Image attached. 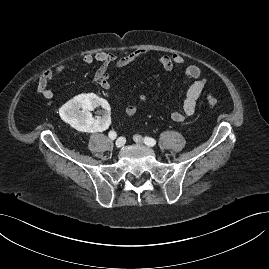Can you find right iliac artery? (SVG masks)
<instances>
[{"label": "right iliac artery", "mask_w": 269, "mask_h": 269, "mask_svg": "<svg viewBox=\"0 0 269 269\" xmlns=\"http://www.w3.org/2000/svg\"><path fill=\"white\" fill-rule=\"evenodd\" d=\"M108 135H109V138L112 140H114L117 137V134L114 130L110 131Z\"/></svg>", "instance_id": "82829eb1"}]
</instances>
